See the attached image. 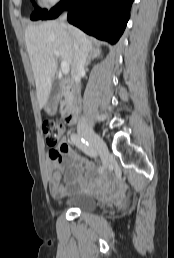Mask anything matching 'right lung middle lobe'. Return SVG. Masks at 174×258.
Returning <instances> with one entry per match:
<instances>
[{"instance_id":"dd1d6c3e","label":"right lung middle lobe","mask_w":174,"mask_h":258,"mask_svg":"<svg viewBox=\"0 0 174 258\" xmlns=\"http://www.w3.org/2000/svg\"><path fill=\"white\" fill-rule=\"evenodd\" d=\"M32 4L35 7V11L31 15V20H39L42 19V17L47 13V10H41L34 1H32Z\"/></svg>"}]
</instances>
